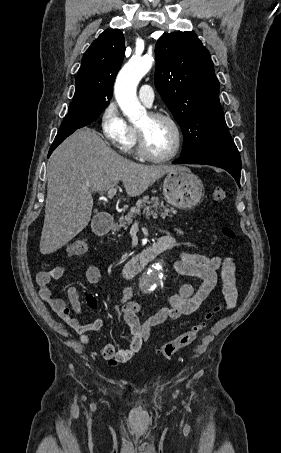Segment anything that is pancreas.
I'll return each mask as SVG.
<instances>
[{"label":"pancreas","mask_w":281,"mask_h":453,"mask_svg":"<svg viewBox=\"0 0 281 453\" xmlns=\"http://www.w3.org/2000/svg\"><path fill=\"white\" fill-rule=\"evenodd\" d=\"M151 202H154V204H151ZM141 208H143L142 212H145L146 218H150V216H153V218H157V216L165 218V216H172V212L173 214H176V210H174L173 206L168 208L163 202H160L158 196H152V198L143 196V198H139L135 206L130 208V212H127L125 216L119 218V224H113V231H119L122 227L123 229H127L126 224H131L133 216H135V214H140Z\"/></svg>","instance_id":"pancreas-1"}]
</instances>
